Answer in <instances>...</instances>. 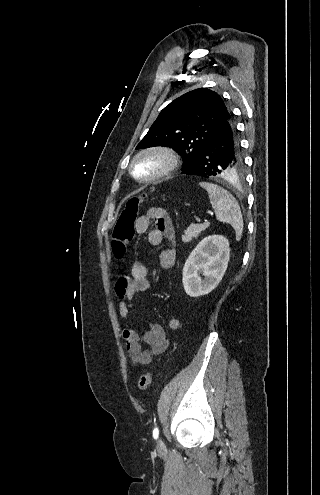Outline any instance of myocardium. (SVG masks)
Instances as JSON below:
<instances>
[{"label":"myocardium","instance_id":"f54148a6","mask_svg":"<svg viewBox=\"0 0 320 495\" xmlns=\"http://www.w3.org/2000/svg\"><path fill=\"white\" fill-rule=\"evenodd\" d=\"M157 159L160 162L159 168L149 175H139L136 173V165L144 159ZM178 166V158L173 150L163 146H153L140 150L130 161L129 172L131 176L142 183H152L170 175Z\"/></svg>","mask_w":320,"mask_h":495}]
</instances>
